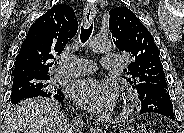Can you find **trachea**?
I'll use <instances>...</instances> for the list:
<instances>
[{
  "label": "trachea",
  "mask_w": 184,
  "mask_h": 133,
  "mask_svg": "<svg viewBox=\"0 0 184 133\" xmlns=\"http://www.w3.org/2000/svg\"><path fill=\"white\" fill-rule=\"evenodd\" d=\"M92 30H93L92 24L88 28L82 27L81 34H80V40H81L82 44L87 42V40L89 39V37L92 34Z\"/></svg>",
  "instance_id": "3493384b"
}]
</instances>
